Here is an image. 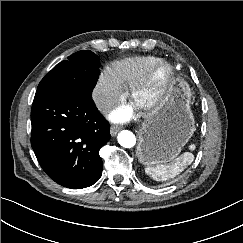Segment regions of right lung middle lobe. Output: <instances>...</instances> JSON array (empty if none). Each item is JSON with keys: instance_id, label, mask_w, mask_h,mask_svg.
<instances>
[{"instance_id": "right-lung-middle-lobe-1", "label": "right lung middle lobe", "mask_w": 243, "mask_h": 243, "mask_svg": "<svg viewBox=\"0 0 243 243\" xmlns=\"http://www.w3.org/2000/svg\"><path fill=\"white\" fill-rule=\"evenodd\" d=\"M99 59L90 50L78 51L57 64L39 83L38 90L90 95L98 80Z\"/></svg>"}]
</instances>
